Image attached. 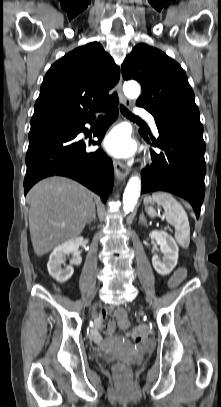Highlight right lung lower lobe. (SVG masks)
<instances>
[{"label":"right lung lower lobe","mask_w":221,"mask_h":407,"mask_svg":"<svg viewBox=\"0 0 221 407\" xmlns=\"http://www.w3.org/2000/svg\"><path fill=\"white\" fill-rule=\"evenodd\" d=\"M117 102L103 109L106 116L100 129L95 133L98 142L89 141V145L99 144L109 125L116 120ZM94 118L95 116L61 127L29 133L25 194L42 178L62 175L82 183L99 194L103 202L106 201L113 187L112 160L101 149L87 153L84 140H76L79 133L86 132L85 124L93 122Z\"/></svg>","instance_id":"right-lung-lower-lobe-1"}]
</instances>
